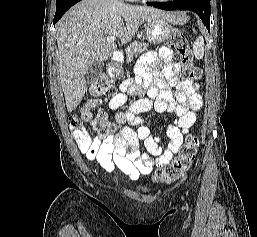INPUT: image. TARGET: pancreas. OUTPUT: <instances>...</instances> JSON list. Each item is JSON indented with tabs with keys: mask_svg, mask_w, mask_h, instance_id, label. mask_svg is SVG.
<instances>
[{
	"mask_svg": "<svg viewBox=\"0 0 257 237\" xmlns=\"http://www.w3.org/2000/svg\"><path fill=\"white\" fill-rule=\"evenodd\" d=\"M147 49H148L147 43L134 41L125 50L127 61H131L134 56L139 55L140 53H142L143 51H146Z\"/></svg>",
	"mask_w": 257,
	"mask_h": 237,
	"instance_id": "pancreas-1",
	"label": "pancreas"
}]
</instances>
